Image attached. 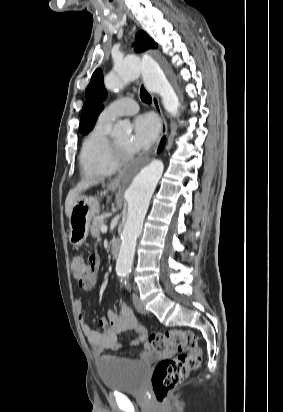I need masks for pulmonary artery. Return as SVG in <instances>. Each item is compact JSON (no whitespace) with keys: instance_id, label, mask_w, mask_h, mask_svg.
Returning <instances> with one entry per match:
<instances>
[{"instance_id":"1","label":"pulmonary artery","mask_w":283,"mask_h":412,"mask_svg":"<svg viewBox=\"0 0 283 412\" xmlns=\"http://www.w3.org/2000/svg\"><path fill=\"white\" fill-rule=\"evenodd\" d=\"M139 106L137 102L129 97H123L103 109L99 119L111 122L119 117L130 116L137 113Z\"/></svg>"}]
</instances>
